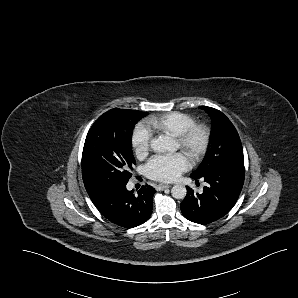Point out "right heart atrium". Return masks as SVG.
<instances>
[{
    "instance_id": "d8ad5b80",
    "label": "right heart atrium",
    "mask_w": 298,
    "mask_h": 298,
    "mask_svg": "<svg viewBox=\"0 0 298 298\" xmlns=\"http://www.w3.org/2000/svg\"><path fill=\"white\" fill-rule=\"evenodd\" d=\"M133 145L137 155L146 156L152 146L149 131L140 125L136 126L133 133Z\"/></svg>"
}]
</instances>
